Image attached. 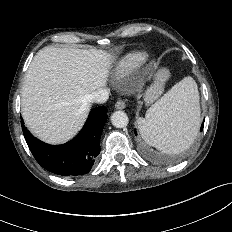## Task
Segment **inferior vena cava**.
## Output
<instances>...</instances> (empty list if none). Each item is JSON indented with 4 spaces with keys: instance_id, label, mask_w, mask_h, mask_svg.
Returning <instances> with one entry per match:
<instances>
[{
    "instance_id": "602c4592",
    "label": "inferior vena cava",
    "mask_w": 232,
    "mask_h": 232,
    "mask_svg": "<svg viewBox=\"0 0 232 232\" xmlns=\"http://www.w3.org/2000/svg\"><path fill=\"white\" fill-rule=\"evenodd\" d=\"M109 98V92L107 89L100 88L91 94L88 95L87 99L89 102H95V103H105Z\"/></svg>"
}]
</instances>
